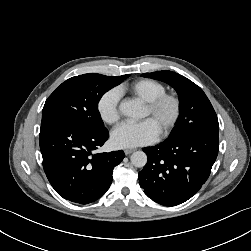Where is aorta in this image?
Returning a JSON list of instances; mask_svg holds the SVG:
<instances>
[{"mask_svg":"<svg viewBox=\"0 0 251 251\" xmlns=\"http://www.w3.org/2000/svg\"><path fill=\"white\" fill-rule=\"evenodd\" d=\"M120 112L124 116L138 118L141 108L135 101H123L119 106ZM131 163L138 168L144 167L147 163V155L143 151H136L130 157Z\"/></svg>","mask_w":251,"mask_h":251,"instance_id":"762f6f07","label":"aorta"}]
</instances>
